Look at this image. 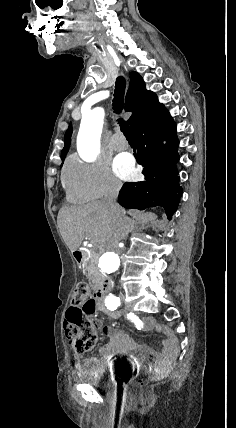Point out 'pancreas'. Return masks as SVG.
I'll use <instances>...</instances> for the list:
<instances>
[{
	"instance_id": "cf45deb5",
	"label": "pancreas",
	"mask_w": 236,
	"mask_h": 428,
	"mask_svg": "<svg viewBox=\"0 0 236 428\" xmlns=\"http://www.w3.org/2000/svg\"><path fill=\"white\" fill-rule=\"evenodd\" d=\"M101 254H92L91 258L83 264V268L86 272V276H88L91 282V288H98L100 284V278H102V274H100L97 264Z\"/></svg>"
}]
</instances>
